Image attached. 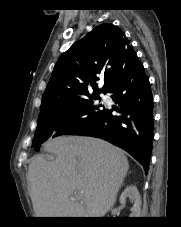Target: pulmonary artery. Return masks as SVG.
I'll return each instance as SVG.
<instances>
[{"instance_id":"e3ab8cb5","label":"pulmonary artery","mask_w":181,"mask_h":227,"mask_svg":"<svg viewBox=\"0 0 181 227\" xmlns=\"http://www.w3.org/2000/svg\"><path fill=\"white\" fill-rule=\"evenodd\" d=\"M103 99H104L105 101H108V97H107V96H103Z\"/></svg>"}]
</instances>
